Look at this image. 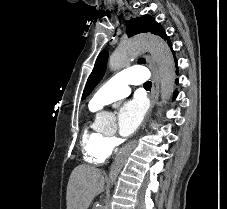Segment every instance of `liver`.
Returning <instances> with one entry per match:
<instances>
[{
	"label": "liver",
	"instance_id": "obj_1",
	"mask_svg": "<svg viewBox=\"0 0 227 209\" xmlns=\"http://www.w3.org/2000/svg\"><path fill=\"white\" fill-rule=\"evenodd\" d=\"M98 177L97 169L89 165H79L72 171L67 187V209H88L92 197L99 191ZM88 195H92L90 201H86Z\"/></svg>",
	"mask_w": 227,
	"mask_h": 209
}]
</instances>
